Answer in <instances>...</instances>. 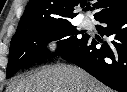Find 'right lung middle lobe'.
I'll return each instance as SVG.
<instances>
[{"instance_id":"dd1d6c3e","label":"right lung middle lobe","mask_w":127,"mask_h":92,"mask_svg":"<svg viewBox=\"0 0 127 92\" xmlns=\"http://www.w3.org/2000/svg\"><path fill=\"white\" fill-rule=\"evenodd\" d=\"M71 23L60 26H37L11 40L6 78L13 76L25 65L41 62L57 55H64L80 46L88 37ZM58 42V50L51 54L45 45L51 40Z\"/></svg>"}]
</instances>
